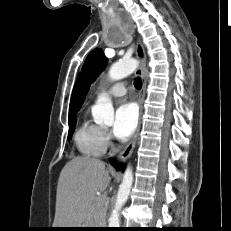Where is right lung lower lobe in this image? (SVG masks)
<instances>
[{
    "label": "right lung lower lobe",
    "instance_id": "1",
    "mask_svg": "<svg viewBox=\"0 0 231 231\" xmlns=\"http://www.w3.org/2000/svg\"><path fill=\"white\" fill-rule=\"evenodd\" d=\"M115 167H116V169H118V170H123V169H124V164H118V165H116Z\"/></svg>",
    "mask_w": 231,
    "mask_h": 231
}]
</instances>
